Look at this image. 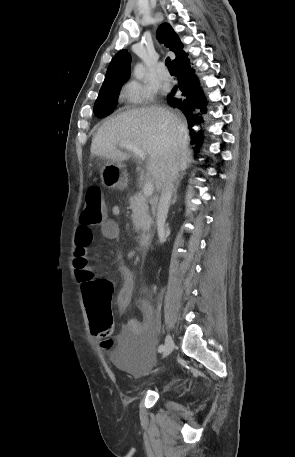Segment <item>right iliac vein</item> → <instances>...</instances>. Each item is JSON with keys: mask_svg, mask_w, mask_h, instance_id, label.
Returning <instances> with one entry per match:
<instances>
[{"mask_svg": "<svg viewBox=\"0 0 295 457\" xmlns=\"http://www.w3.org/2000/svg\"><path fill=\"white\" fill-rule=\"evenodd\" d=\"M173 346H174L173 338H172V336L170 334H168L167 337H166L164 349L162 351L163 358L167 357L171 353V351L173 349Z\"/></svg>", "mask_w": 295, "mask_h": 457, "instance_id": "1", "label": "right iliac vein"}]
</instances>
